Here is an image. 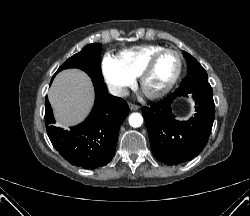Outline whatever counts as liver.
<instances>
[{
    "label": "liver",
    "mask_w": 250,
    "mask_h": 216,
    "mask_svg": "<svg viewBox=\"0 0 250 216\" xmlns=\"http://www.w3.org/2000/svg\"><path fill=\"white\" fill-rule=\"evenodd\" d=\"M48 96L57 117V124L67 127L80 122L88 114L94 91L86 73L67 69L56 76Z\"/></svg>",
    "instance_id": "obj_1"
}]
</instances>
